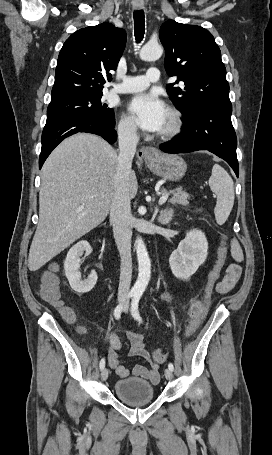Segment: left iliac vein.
Returning <instances> with one entry per match:
<instances>
[{
	"label": "left iliac vein",
	"instance_id": "left-iliac-vein-1",
	"mask_svg": "<svg viewBox=\"0 0 272 455\" xmlns=\"http://www.w3.org/2000/svg\"><path fill=\"white\" fill-rule=\"evenodd\" d=\"M124 311H125V312L128 311V305H126V306L124 307ZM164 374H165V377H166L167 380H171L172 377H173L172 371H171L169 368L165 370V373H164Z\"/></svg>",
	"mask_w": 272,
	"mask_h": 455
}]
</instances>
